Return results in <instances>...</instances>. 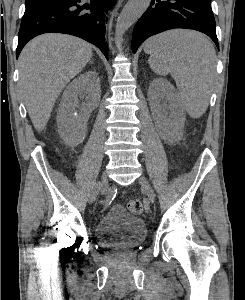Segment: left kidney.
Segmentation results:
<instances>
[{"label": "left kidney", "mask_w": 245, "mask_h": 300, "mask_svg": "<svg viewBox=\"0 0 245 300\" xmlns=\"http://www.w3.org/2000/svg\"><path fill=\"white\" fill-rule=\"evenodd\" d=\"M148 100L160 135L168 141L178 140L184 127L185 109L173 85L164 78L154 79Z\"/></svg>", "instance_id": "1"}]
</instances>
